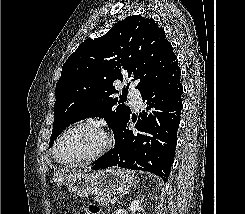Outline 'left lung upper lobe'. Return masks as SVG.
Masks as SVG:
<instances>
[{"label":"left lung upper lobe","mask_w":245,"mask_h":214,"mask_svg":"<svg viewBox=\"0 0 245 214\" xmlns=\"http://www.w3.org/2000/svg\"><path fill=\"white\" fill-rule=\"evenodd\" d=\"M178 63L165 32L152 18L132 15L116 23L104 36L80 44L62 67L56 84L50 147L70 124L101 117L118 136L130 118V108L113 86L125 75L142 93L156 85Z\"/></svg>","instance_id":"1"}]
</instances>
